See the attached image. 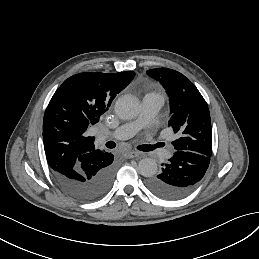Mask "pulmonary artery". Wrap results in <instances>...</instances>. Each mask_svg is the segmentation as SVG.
I'll return each mask as SVG.
<instances>
[{"mask_svg": "<svg viewBox=\"0 0 259 259\" xmlns=\"http://www.w3.org/2000/svg\"><path fill=\"white\" fill-rule=\"evenodd\" d=\"M165 103L164 95H152L144 97L138 116L130 122L122 124L111 135L118 139H128L132 137L146 122L154 117ZM102 137L98 136L97 140Z\"/></svg>", "mask_w": 259, "mask_h": 259, "instance_id": "pulmonary-artery-1", "label": "pulmonary artery"}]
</instances>
